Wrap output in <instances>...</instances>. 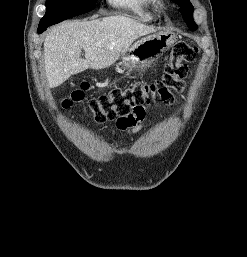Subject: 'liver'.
I'll list each match as a JSON object with an SVG mask.
<instances>
[{
    "instance_id": "liver-1",
    "label": "liver",
    "mask_w": 247,
    "mask_h": 257,
    "mask_svg": "<svg viewBox=\"0 0 247 257\" xmlns=\"http://www.w3.org/2000/svg\"><path fill=\"white\" fill-rule=\"evenodd\" d=\"M155 31L122 15L57 25L44 41L48 86L58 87L88 68L100 70L111 66L136 39ZM82 49L85 59L80 57Z\"/></svg>"
}]
</instances>
